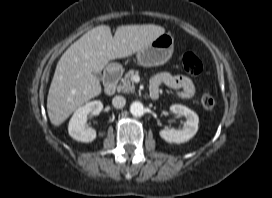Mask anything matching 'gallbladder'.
<instances>
[{"instance_id":"obj_1","label":"gallbladder","mask_w":272,"mask_h":198,"mask_svg":"<svg viewBox=\"0 0 272 198\" xmlns=\"http://www.w3.org/2000/svg\"><path fill=\"white\" fill-rule=\"evenodd\" d=\"M95 76L98 78V79H101L102 78V75L100 73H95Z\"/></svg>"}]
</instances>
